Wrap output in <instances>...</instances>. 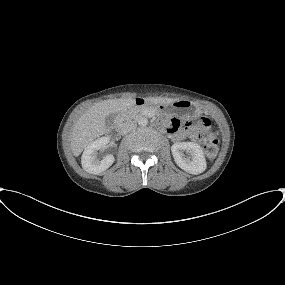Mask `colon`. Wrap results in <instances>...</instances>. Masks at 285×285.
Wrapping results in <instances>:
<instances>
[{"label":"colon","mask_w":285,"mask_h":285,"mask_svg":"<svg viewBox=\"0 0 285 285\" xmlns=\"http://www.w3.org/2000/svg\"><path fill=\"white\" fill-rule=\"evenodd\" d=\"M208 125L205 119L202 122L187 123L186 130L189 135L204 144L206 155L209 159H213L219 148V141L214 133H205V128Z\"/></svg>","instance_id":"5ec220e1"}]
</instances>
